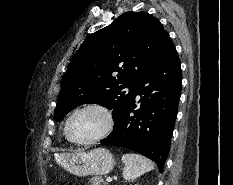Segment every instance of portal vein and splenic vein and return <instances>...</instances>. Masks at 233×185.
Masks as SVG:
<instances>
[{
	"label": "portal vein and splenic vein",
	"instance_id": "18ae733b",
	"mask_svg": "<svg viewBox=\"0 0 233 185\" xmlns=\"http://www.w3.org/2000/svg\"><path fill=\"white\" fill-rule=\"evenodd\" d=\"M106 182H112V178L111 177H107L106 178Z\"/></svg>",
	"mask_w": 233,
	"mask_h": 185
}]
</instances>
